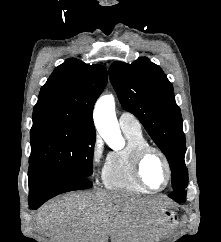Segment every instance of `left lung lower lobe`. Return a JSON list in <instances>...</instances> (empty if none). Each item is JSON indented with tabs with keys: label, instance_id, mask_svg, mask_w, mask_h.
Wrapping results in <instances>:
<instances>
[{
	"label": "left lung lower lobe",
	"instance_id": "1",
	"mask_svg": "<svg viewBox=\"0 0 221 242\" xmlns=\"http://www.w3.org/2000/svg\"><path fill=\"white\" fill-rule=\"evenodd\" d=\"M169 197L178 203H183L186 200V194L183 191L171 194Z\"/></svg>",
	"mask_w": 221,
	"mask_h": 242
}]
</instances>
